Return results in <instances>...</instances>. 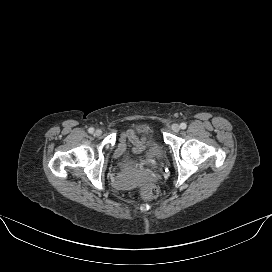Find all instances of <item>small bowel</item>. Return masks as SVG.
Instances as JSON below:
<instances>
[{"instance_id":"1","label":"small bowel","mask_w":272,"mask_h":272,"mask_svg":"<svg viewBox=\"0 0 272 272\" xmlns=\"http://www.w3.org/2000/svg\"><path fill=\"white\" fill-rule=\"evenodd\" d=\"M146 143L148 142L145 137H138L134 131L130 130L122 134L120 144L117 149L122 150L126 145H130L135 153H139L144 149Z\"/></svg>"}]
</instances>
